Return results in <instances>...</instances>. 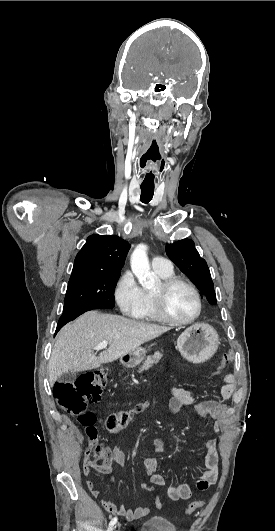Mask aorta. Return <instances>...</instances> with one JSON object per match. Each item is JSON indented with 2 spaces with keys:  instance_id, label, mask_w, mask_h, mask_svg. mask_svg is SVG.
<instances>
[{
  "instance_id": "obj_1",
  "label": "aorta",
  "mask_w": 275,
  "mask_h": 531,
  "mask_svg": "<svg viewBox=\"0 0 275 531\" xmlns=\"http://www.w3.org/2000/svg\"><path fill=\"white\" fill-rule=\"evenodd\" d=\"M130 267L132 273H134L146 291L156 289L157 285H159L160 279H155L150 271L146 245H137L136 249H134L130 259Z\"/></svg>"
}]
</instances>
